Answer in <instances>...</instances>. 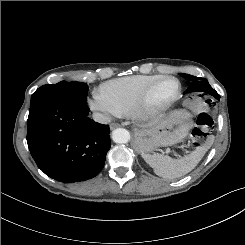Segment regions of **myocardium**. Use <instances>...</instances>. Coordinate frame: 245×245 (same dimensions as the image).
I'll list each match as a JSON object with an SVG mask.
<instances>
[{
    "label": "myocardium",
    "mask_w": 245,
    "mask_h": 245,
    "mask_svg": "<svg viewBox=\"0 0 245 245\" xmlns=\"http://www.w3.org/2000/svg\"><path fill=\"white\" fill-rule=\"evenodd\" d=\"M175 81L177 83V88L175 92L165 101L157 103L155 101L156 94L160 87L168 82ZM181 92V83L176 77L164 76L151 84L145 91L141 94L139 99L136 101L131 115L138 120H147L156 116L161 115L167 111L172 104L177 100Z\"/></svg>",
    "instance_id": "f54148a6"
}]
</instances>
